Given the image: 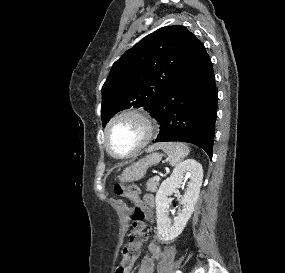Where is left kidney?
Segmentation results:
<instances>
[{"label": "left kidney", "instance_id": "1", "mask_svg": "<svg viewBox=\"0 0 285 273\" xmlns=\"http://www.w3.org/2000/svg\"><path fill=\"white\" fill-rule=\"evenodd\" d=\"M189 175L190 182L185 190L184 196L180 199L182 209L178 211L177 217L171 220L169 217L170 194L176 192L181 186L184 175ZM203 179V168L194 159H188L178 164L171 176L162 182L155 198L157 229L160 239L171 241L178 237L185 228L191 217L194 206L198 200L200 187Z\"/></svg>", "mask_w": 285, "mask_h": 273}]
</instances>
